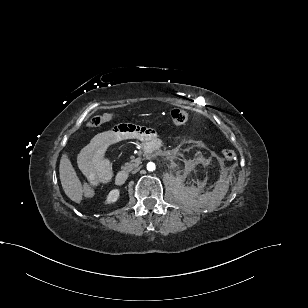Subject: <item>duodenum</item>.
Wrapping results in <instances>:
<instances>
[{"label":"duodenum","mask_w":308,"mask_h":308,"mask_svg":"<svg viewBox=\"0 0 308 308\" xmlns=\"http://www.w3.org/2000/svg\"><path fill=\"white\" fill-rule=\"evenodd\" d=\"M157 143L156 142H149L148 144L144 145V148L142 150V153L145 156H148L150 153H152L153 151L157 150ZM128 179V172L125 170L119 171L116 175H115V183L117 185H123Z\"/></svg>","instance_id":"duodenum-1"}]
</instances>
